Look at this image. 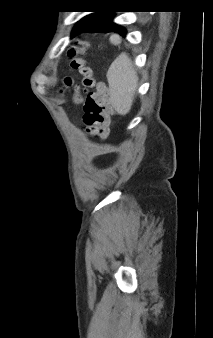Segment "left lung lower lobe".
I'll return each instance as SVG.
<instances>
[{"label":"left lung lower lobe","mask_w":213,"mask_h":338,"mask_svg":"<svg viewBox=\"0 0 213 338\" xmlns=\"http://www.w3.org/2000/svg\"><path fill=\"white\" fill-rule=\"evenodd\" d=\"M113 16V11H101L84 17L74 27L72 37L83 32H117L125 36L126 30L112 22Z\"/></svg>","instance_id":"obj_1"}]
</instances>
